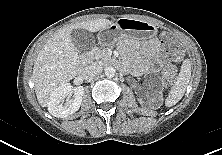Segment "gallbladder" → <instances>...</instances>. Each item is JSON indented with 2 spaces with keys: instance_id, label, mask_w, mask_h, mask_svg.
<instances>
[{
  "instance_id": "obj_1",
  "label": "gallbladder",
  "mask_w": 222,
  "mask_h": 155,
  "mask_svg": "<svg viewBox=\"0 0 222 155\" xmlns=\"http://www.w3.org/2000/svg\"><path fill=\"white\" fill-rule=\"evenodd\" d=\"M70 40L73 44L74 49L79 53L88 52L94 44L92 34L85 29L73 30Z\"/></svg>"
}]
</instances>
